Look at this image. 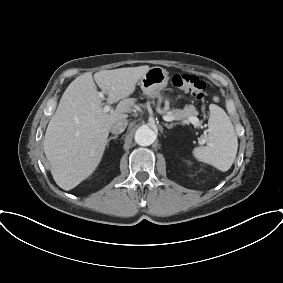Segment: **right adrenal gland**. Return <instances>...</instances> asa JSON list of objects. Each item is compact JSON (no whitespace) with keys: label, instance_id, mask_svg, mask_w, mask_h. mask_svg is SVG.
Masks as SVG:
<instances>
[{"label":"right adrenal gland","instance_id":"right-adrenal-gland-1","mask_svg":"<svg viewBox=\"0 0 283 283\" xmlns=\"http://www.w3.org/2000/svg\"><path fill=\"white\" fill-rule=\"evenodd\" d=\"M117 137H118V135H114V136H111V137H109L108 138V140H107V146L109 145V142L112 140V139H117Z\"/></svg>","mask_w":283,"mask_h":283}]
</instances>
